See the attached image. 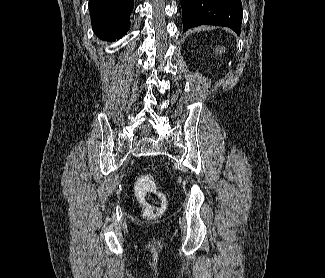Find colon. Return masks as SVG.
<instances>
[{
    "instance_id": "1",
    "label": "colon",
    "mask_w": 325,
    "mask_h": 278,
    "mask_svg": "<svg viewBox=\"0 0 325 278\" xmlns=\"http://www.w3.org/2000/svg\"><path fill=\"white\" fill-rule=\"evenodd\" d=\"M135 191L143 203L147 219H156L166 207V198L150 176H141L135 182Z\"/></svg>"
}]
</instances>
